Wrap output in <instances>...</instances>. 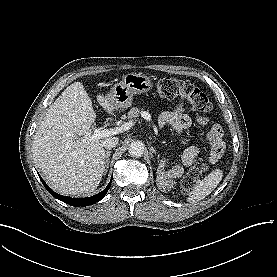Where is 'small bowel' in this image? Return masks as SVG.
I'll use <instances>...</instances> for the list:
<instances>
[{"instance_id":"obj_1","label":"small bowel","mask_w":277,"mask_h":277,"mask_svg":"<svg viewBox=\"0 0 277 277\" xmlns=\"http://www.w3.org/2000/svg\"><path fill=\"white\" fill-rule=\"evenodd\" d=\"M159 127L170 126L174 131L181 133L189 128L193 123L203 126L208 125V120L204 117L193 119L186 111L183 104H178L171 111L162 113L157 120ZM223 131L219 125L210 128L207 142L199 147L187 148L181 156L180 168L182 170L188 168L194 159L202 154H215L223 151Z\"/></svg>"}]
</instances>
